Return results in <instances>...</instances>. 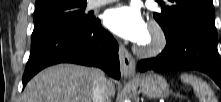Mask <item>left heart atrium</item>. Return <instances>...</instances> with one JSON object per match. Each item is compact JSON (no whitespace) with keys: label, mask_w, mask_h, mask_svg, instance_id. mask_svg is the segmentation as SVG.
I'll use <instances>...</instances> for the list:
<instances>
[{"label":"left heart atrium","mask_w":221,"mask_h":102,"mask_svg":"<svg viewBox=\"0 0 221 102\" xmlns=\"http://www.w3.org/2000/svg\"><path fill=\"white\" fill-rule=\"evenodd\" d=\"M104 24L118 36L133 42H142L148 33L140 12L131 6H117L108 10Z\"/></svg>","instance_id":"obj_1"}]
</instances>
